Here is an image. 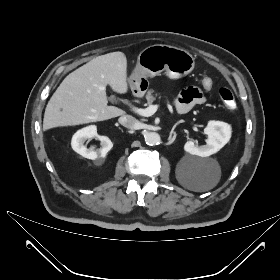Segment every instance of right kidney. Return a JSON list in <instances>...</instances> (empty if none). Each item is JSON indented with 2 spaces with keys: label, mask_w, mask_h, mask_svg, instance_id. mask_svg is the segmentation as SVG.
I'll use <instances>...</instances> for the list:
<instances>
[{
  "label": "right kidney",
  "mask_w": 280,
  "mask_h": 280,
  "mask_svg": "<svg viewBox=\"0 0 280 280\" xmlns=\"http://www.w3.org/2000/svg\"><path fill=\"white\" fill-rule=\"evenodd\" d=\"M97 137L100 141V148L90 147L87 148L84 145V142L87 139ZM72 149L78 154L82 155L85 158L92 160L102 161L106 154L113 147V143L106 136H99L97 134V127L95 125H90L85 128L78 130L72 137L71 141Z\"/></svg>",
  "instance_id": "1"
}]
</instances>
